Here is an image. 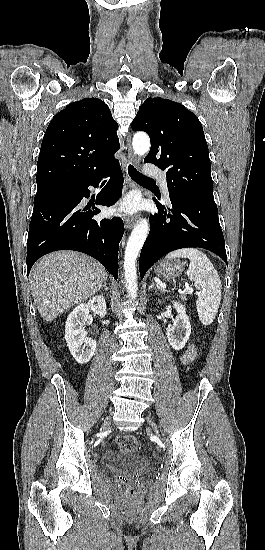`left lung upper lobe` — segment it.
I'll return each mask as SVG.
<instances>
[{"mask_svg":"<svg viewBox=\"0 0 265 550\" xmlns=\"http://www.w3.org/2000/svg\"><path fill=\"white\" fill-rule=\"evenodd\" d=\"M131 126L149 134L151 149L144 161L166 171L170 200H193L217 210L207 142L192 112L168 99L148 98Z\"/></svg>","mask_w":265,"mask_h":550,"instance_id":"left-lung-upper-lobe-1","label":"left lung upper lobe"}]
</instances>
